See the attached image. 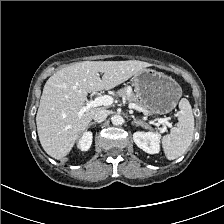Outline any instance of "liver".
Segmentation results:
<instances>
[{
	"mask_svg": "<svg viewBox=\"0 0 224 224\" xmlns=\"http://www.w3.org/2000/svg\"><path fill=\"white\" fill-rule=\"evenodd\" d=\"M149 66L138 60L83 61L53 74L43 88L36 115L44 151L58 160L68 155L96 111L103 109L93 107L78 117L88 93L112 89ZM99 72L103 73L102 78Z\"/></svg>",
	"mask_w": 224,
	"mask_h": 224,
	"instance_id": "obj_1",
	"label": "liver"
}]
</instances>
